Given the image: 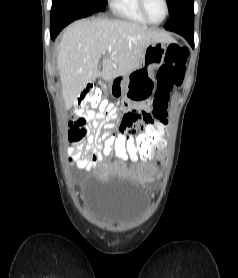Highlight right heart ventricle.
I'll return each mask as SVG.
<instances>
[{
	"label": "right heart ventricle",
	"mask_w": 238,
	"mask_h": 278,
	"mask_svg": "<svg viewBox=\"0 0 238 278\" xmlns=\"http://www.w3.org/2000/svg\"><path fill=\"white\" fill-rule=\"evenodd\" d=\"M110 7L118 17L140 24L149 23L140 11L138 0H110Z\"/></svg>",
	"instance_id": "1"
}]
</instances>
